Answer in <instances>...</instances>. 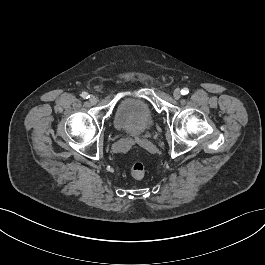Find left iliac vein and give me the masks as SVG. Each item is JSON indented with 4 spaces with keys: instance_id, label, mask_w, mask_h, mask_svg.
<instances>
[{
    "instance_id": "4c4485c4",
    "label": "left iliac vein",
    "mask_w": 265,
    "mask_h": 265,
    "mask_svg": "<svg viewBox=\"0 0 265 265\" xmlns=\"http://www.w3.org/2000/svg\"><path fill=\"white\" fill-rule=\"evenodd\" d=\"M173 97L175 99H179L181 97V91L179 88H176L174 91H173Z\"/></svg>"
}]
</instances>
